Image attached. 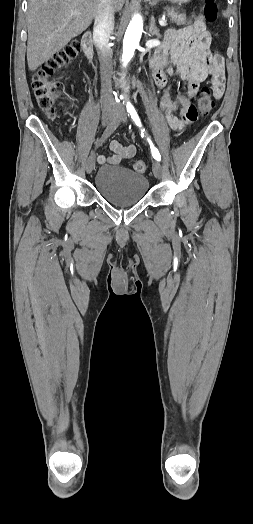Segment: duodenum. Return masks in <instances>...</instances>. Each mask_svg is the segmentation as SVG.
Segmentation results:
<instances>
[{"instance_id":"obj_1","label":"duodenum","mask_w":253,"mask_h":524,"mask_svg":"<svg viewBox=\"0 0 253 524\" xmlns=\"http://www.w3.org/2000/svg\"><path fill=\"white\" fill-rule=\"evenodd\" d=\"M83 50L86 57L92 61L94 58V47L92 45V37L89 31L85 32L82 36Z\"/></svg>"}]
</instances>
